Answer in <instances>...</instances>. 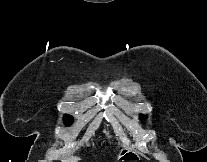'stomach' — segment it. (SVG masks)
Instances as JSON below:
<instances>
[{
	"mask_svg": "<svg viewBox=\"0 0 207 162\" xmlns=\"http://www.w3.org/2000/svg\"><path fill=\"white\" fill-rule=\"evenodd\" d=\"M117 160H120V162H138L137 160H140L139 156L131 151L130 149L123 148L118 156Z\"/></svg>",
	"mask_w": 207,
	"mask_h": 162,
	"instance_id": "stomach-1",
	"label": "stomach"
}]
</instances>
